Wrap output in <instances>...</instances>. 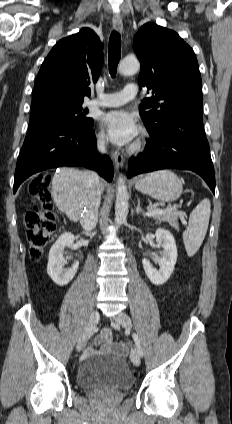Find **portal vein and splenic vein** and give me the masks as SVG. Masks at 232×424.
Wrapping results in <instances>:
<instances>
[{
    "mask_svg": "<svg viewBox=\"0 0 232 424\" xmlns=\"http://www.w3.org/2000/svg\"><path fill=\"white\" fill-rule=\"evenodd\" d=\"M176 211H177V207L170 206L163 209L148 210L146 213V216L151 217V216L162 214L165 212H176ZM182 221H183V224H186V221L184 219H182Z\"/></svg>",
    "mask_w": 232,
    "mask_h": 424,
    "instance_id": "18ae733b",
    "label": "portal vein and splenic vein"
}]
</instances>
